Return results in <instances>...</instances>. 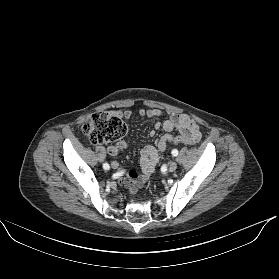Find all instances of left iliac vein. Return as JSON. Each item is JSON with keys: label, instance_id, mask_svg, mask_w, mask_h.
I'll use <instances>...</instances> for the list:
<instances>
[{"label": "left iliac vein", "instance_id": "1", "mask_svg": "<svg viewBox=\"0 0 279 279\" xmlns=\"http://www.w3.org/2000/svg\"><path fill=\"white\" fill-rule=\"evenodd\" d=\"M176 168H177V163H176L175 161H172V162L169 163V165H168V170H169L170 172L175 171Z\"/></svg>", "mask_w": 279, "mask_h": 279}]
</instances>
